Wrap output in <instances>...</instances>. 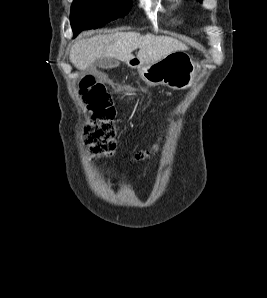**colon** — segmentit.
<instances>
[{"instance_id":"obj_1","label":"colon","mask_w":267,"mask_h":298,"mask_svg":"<svg viewBox=\"0 0 267 298\" xmlns=\"http://www.w3.org/2000/svg\"><path fill=\"white\" fill-rule=\"evenodd\" d=\"M79 95L85 107L89 120L88 132L94 137L96 145L94 152L97 158L108 157L112 154L115 144L108 129L107 120L111 118L112 106L106 88L96 82L93 76H84L79 83ZM158 144L142 151L135 156L136 160H144L157 152Z\"/></svg>"}]
</instances>
